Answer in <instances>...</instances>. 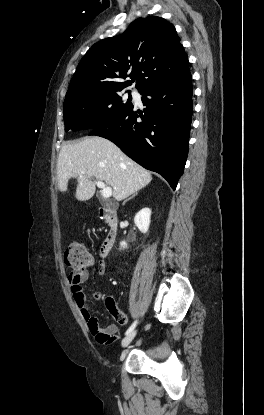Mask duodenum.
I'll return each instance as SVG.
<instances>
[{
    "label": "duodenum",
    "instance_id": "1",
    "mask_svg": "<svg viewBox=\"0 0 264 415\" xmlns=\"http://www.w3.org/2000/svg\"><path fill=\"white\" fill-rule=\"evenodd\" d=\"M98 216L107 225V234L103 239L101 246V256L105 258L112 249L119 231V219L117 211L110 208L108 205H102L97 210Z\"/></svg>",
    "mask_w": 264,
    "mask_h": 415
}]
</instances>
